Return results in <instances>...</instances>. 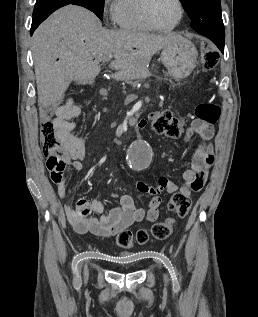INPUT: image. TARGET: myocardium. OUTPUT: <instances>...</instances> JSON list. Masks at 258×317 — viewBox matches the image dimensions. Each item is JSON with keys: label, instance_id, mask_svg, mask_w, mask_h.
Instances as JSON below:
<instances>
[{"label": "myocardium", "instance_id": "1", "mask_svg": "<svg viewBox=\"0 0 258 317\" xmlns=\"http://www.w3.org/2000/svg\"><path fill=\"white\" fill-rule=\"evenodd\" d=\"M154 1L155 0H147L146 3L144 4L143 11H142V17H143L144 23L150 29L155 30V31H159V32H169V31L174 30L180 24V22H181V20L183 18L184 10H183L182 1L181 0H175L177 2V5H178L179 16H178L177 21L170 27H159V26H156L152 22L151 17H150V9H151V6H152Z\"/></svg>", "mask_w": 258, "mask_h": 317}]
</instances>
